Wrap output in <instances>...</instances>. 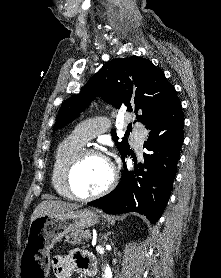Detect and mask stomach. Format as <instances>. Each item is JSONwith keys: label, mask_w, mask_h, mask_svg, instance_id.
<instances>
[{"label": "stomach", "mask_w": 221, "mask_h": 278, "mask_svg": "<svg viewBox=\"0 0 221 278\" xmlns=\"http://www.w3.org/2000/svg\"><path fill=\"white\" fill-rule=\"evenodd\" d=\"M100 215L91 209L46 214L31 222L22 252L21 278H49V251L69 233L95 225Z\"/></svg>", "instance_id": "1"}]
</instances>
